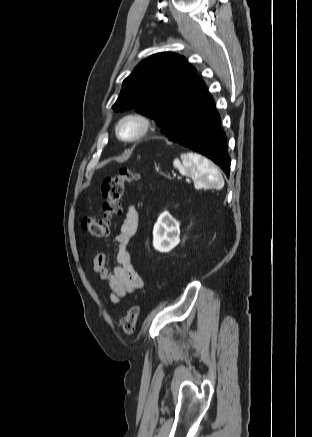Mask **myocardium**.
Masks as SVG:
<instances>
[{
    "instance_id": "myocardium-1",
    "label": "myocardium",
    "mask_w": 312,
    "mask_h": 437,
    "mask_svg": "<svg viewBox=\"0 0 312 437\" xmlns=\"http://www.w3.org/2000/svg\"><path fill=\"white\" fill-rule=\"evenodd\" d=\"M128 121H136L139 124L138 131L129 137L122 134V126ZM151 129V120L148 116L140 112H131L123 115L117 122L115 131L117 137L124 142H136L145 137Z\"/></svg>"
}]
</instances>
